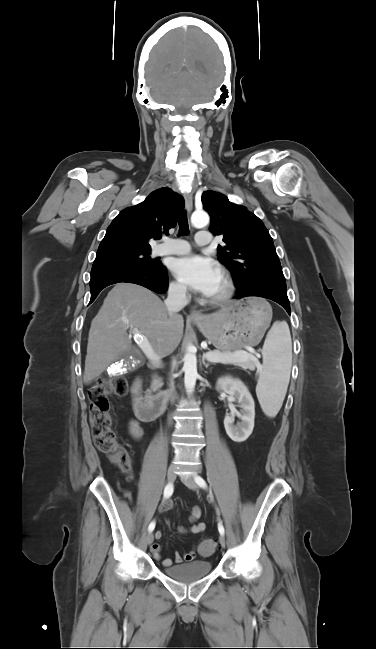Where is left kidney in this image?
Segmentation results:
<instances>
[{
  "mask_svg": "<svg viewBox=\"0 0 376 649\" xmlns=\"http://www.w3.org/2000/svg\"><path fill=\"white\" fill-rule=\"evenodd\" d=\"M219 390L226 392L230 400L239 402L240 411L235 408L225 416L224 427L228 436L235 442L245 441L252 433L255 419V403L248 388L239 380L229 376L219 378L216 383ZM238 416L241 422L234 425V417Z\"/></svg>",
  "mask_w": 376,
  "mask_h": 649,
  "instance_id": "left-kidney-1",
  "label": "left kidney"
}]
</instances>
